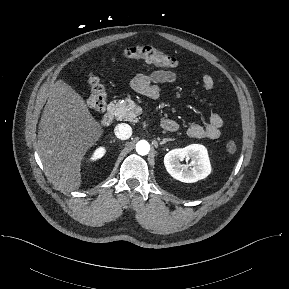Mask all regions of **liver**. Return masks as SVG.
Segmentation results:
<instances>
[{"label":"liver","mask_w":289,"mask_h":289,"mask_svg":"<svg viewBox=\"0 0 289 289\" xmlns=\"http://www.w3.org/2000/svg\"><path fill=\"white\" fill-rule=\"evenodd\" d=\"M103 130L85 100L63 80L51 88L38 130V152L59 190L81 186V163Z\"/></svg>","instance_id":"obj_1"}]
</instances>
